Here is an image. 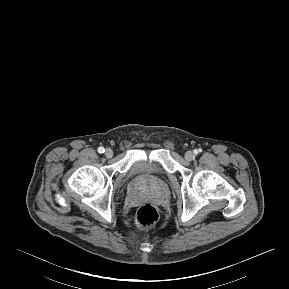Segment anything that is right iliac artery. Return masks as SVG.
<instances>
[{"mask_svg":"<svg viewBox=\"0 0 289 289\" xmlns=\"http://www.w3.org/2000/svg\"><path fill=\"white\" fill-rule=\"evenodd\" d=\"M98 152H99L100 154H102V153L105 152V149H104L103 147H99V148H98Z\"/></svg>","mask_w":289,"mask_h":289,"instance_id":"1","label":"right iliac artery"}]
</instances>
